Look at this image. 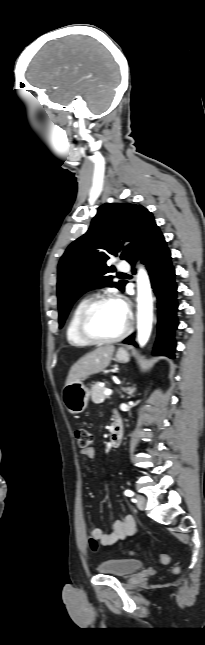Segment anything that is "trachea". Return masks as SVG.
<instances>
[{"label": "trachea", "mask_w": 205, "mask_h": 645, "mask_svg": "<svg viewBox=\"0 0 205 645\" xmlns=\"http://www.w3.org/2000/svg\"><path fill=\"white\" fill-rule=\"evenodd\" d=\"M120 275H124V273H120Z\"/></svg>", "instance_id": "obj_1"}]
</instances>
